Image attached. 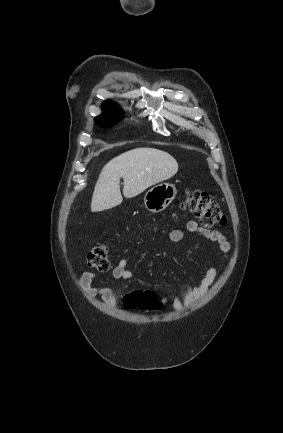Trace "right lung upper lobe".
Listing matches in <instances>:
<instances>
[{
	"mask_svg": "<svg viewBox=\"0 0 283 433\" xmlns=\"http://www.w3.org/2000/svg\"><path fill=\"white\" fill-rule=\"evenodd\" d=\"M102 110L103 113L100 115H107V114H113V113H122L121 112V108L117 106V104L111 102V101H106L102 104Z\"/></svg>",
	"mask_w": 283,
	"mask_h": 433,
	"instance_id": "1",
	"label": "right lung upper lobe"
}]
</instances>
